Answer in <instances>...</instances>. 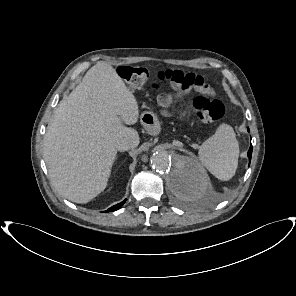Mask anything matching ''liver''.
<instances>
[{
	"instance_id": "6515ba94",
	"label": "liver",
	"mask_w": 296,
	"mask_h": 296,
	"mask_svg": "<svg viewBox=\"0 0 296 296\" xmlns=\"http://www.w3.org/2000/svg\"><path fill=\"white\" fill-rule=\"evenodd\" d=\"M139 107L116 70L98 62L55 110L44 138L51 182L66 199L87 203L104 191L117 155L116 143L137 147L133 125ZM133 147V148H134Z\"/></svg>"
}]
</instances>
